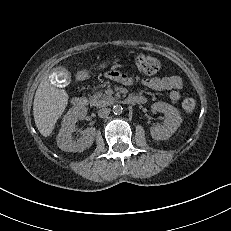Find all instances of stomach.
Segmentation results:
<instances>
[{
    "label": "stomach",
    "instance_id": "0dacf381",
    "mask_svg": "<svg viewBox=\"0 0 231 231\" xmlns=\"http://www.w3.org/2000/svg\"><path fill=\"white\" fill-rule=\"evenodd\" d=\"M100 67H101V68H105V67H106V64H101ZM80 76H81L82 78H86V77L88 76V73H87L86 71H82V72H80Z\"/></svg>",
    "mask_w": 231,
    "mask_h": 231
}]
</instances>
